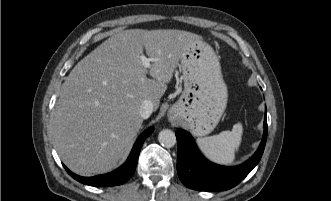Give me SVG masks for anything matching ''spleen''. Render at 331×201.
<instances>
[{"mask_svg": "<svg viewBox=\"0 0 331 201\" xmlns=\"http://www.w3.org/2000/svg\"><path fill=\"white\" fill-rule=\"evenodd\" d=\"M242 134L243 126L241 123H237L231 131L227 130L215 136L198 138L197 145L210 161L228 165L235 159V152L238 151L241 144Z\"/></svg>", "mask_w": 331, "mask_h": 201, "instance_id": "3e777b00", "label": "spleen"}]
</instances>
